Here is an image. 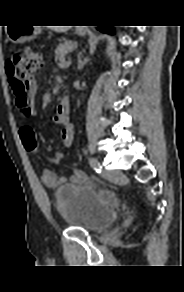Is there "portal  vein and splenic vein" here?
Instances as JSON below:
<instances>
[{"instance_id": "obj_1", "label": "portal vein and splenic vein", "mask_w": 184, "mask_h": 292, "mask_svg": "<svg viewBox=\"0 0 184 292\" xmlns=\"http://www.w3.org/2000/svg\"><path fill=\"white\" fill-rule=\"evenodd\" d=\"M70 61H66L65 59L61 60L60 63L58 64V66L60 68H67L70 65Z\"/></svg>"}]
</instances>
